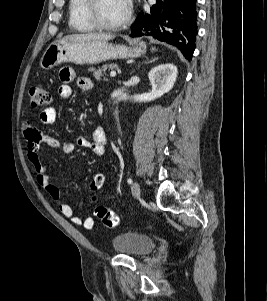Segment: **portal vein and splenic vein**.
I'll return each mask as SVG.
<instances>
[{
	"mask_svg": "<svg viewBox=\"0 0 267 301\" xmlns=\"http://www.w3.org/2000/svg\"><path fill=\"white\" fill-rule=\"evenodd\" d=\"M116 74H117V73H116V71H115V70H112V71L110 72V76H111V77H115V76H116Z\"/></svg>",
	"mask_w": 267,
	"mask_h": 301,
	"instance_id": "18ae733b",
	"label": "portal vein and splenic vein"
}]
</instances>
